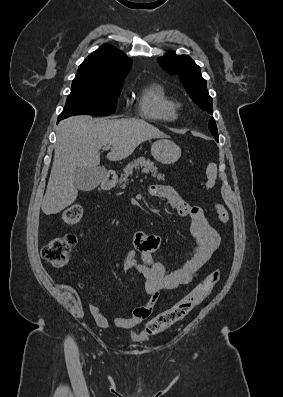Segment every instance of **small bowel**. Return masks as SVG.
<instances>
[{"mask_svg": "<svg viewBox=\"0 0 283 397\" xmlns=\"http://www.w3.org/2000/svg\"><path fill=\"white\" fill-rule=\"evenodd\" d=\"M149 193L166 200L179 216L190 219L194 245L189 258L179 268L168 270L164 264L153 258L161 247L160 237L142 231L134 234V249L126 254L123 265L125 270L134 271L141 276L148 298L143 305L135 308L130 316L112 319V323L122 329L135 328L146 320L152 314L162 290L176 289L192 282L199 270L218 254L221 243L219 233L208 223L201 207L187 203L170 186L152 185ZM90 231L91 229L87 228L82 235ZM90 312L99 327H109V321L98 305L91 304Z\"/></svg>", "mask_w": 283, "mask_h": 397, "instance_id": "obj_1", "label": "small bowel"}]
</instances>
